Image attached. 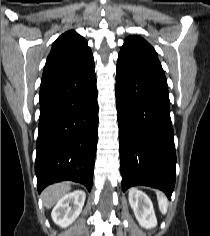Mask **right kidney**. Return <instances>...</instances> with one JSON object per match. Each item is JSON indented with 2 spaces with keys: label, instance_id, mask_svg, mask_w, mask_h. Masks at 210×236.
I'll return each mask as SVG.
<instances>
[{
  "label": "right kidney",
  "instance_id": "1",
  "mask_svg": "<svg viewBox=\"0 0 210 236\" xmlns=\"http://www.w3.org/2000/svg\"><path fill=\"white\" fill-rule=\"evenodd\" d=\"M86 194L76 190L63 196L52 210L51 217L60 227H67L80 215Z\"/></svg>",
  "mask_w": 210,
  "mask_h": 236
}]
</instances>
